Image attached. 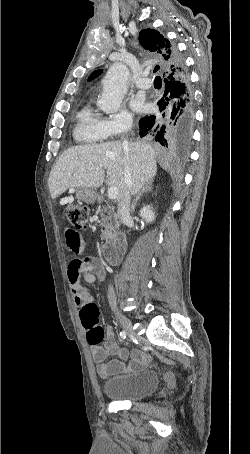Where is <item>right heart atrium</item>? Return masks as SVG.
Returning a JSON list of instances; mask_svg holds the SVG:
<instances>
[{"label":"right heart atrium","instance_id":"obj_1","mask_svg":"<svg viewBox=\"0 0 250 454\" xmlns=\"http://www.w3.org/2000/svg\"><path fill=\"white\" fill-rule=\"evenodd\" d=\"M133 125V117L127 111H120L111 118L103 119L102 126L107 137H117Z\"/></svg>","mask_w":250,"mask_h":454}]
</instances>
